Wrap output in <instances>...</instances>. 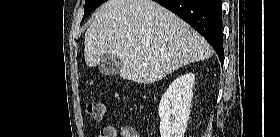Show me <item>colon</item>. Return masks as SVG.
<instances>
[{
  "instance_id": "obj_1",
  "label": "colon",
  "mask_w": 280,
  "mask_h": 137,
  "mask_svg": "<svg viewBox=\"0 0 280 137\" xmlns=\"http://www.w3.org/2000/svg\"><path fill=\"white\" fill-rule=\"evenodd\" d=\"M87 112L95 120L101 121L104 118L106 107L102 102L94 101L87 104Z\"/></svg>"
}]
</instances>
